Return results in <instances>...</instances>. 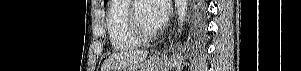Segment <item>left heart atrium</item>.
<instances>
[{
    "label": "left heart atrium",
    "mask_w": 301,
    "mask_h": 71,
    "mask_svg": "<svg viewBox=\"0 0 301 71\" xmlns=\"http://www.w3.org/2000/svg\"><path fill=\"white\" fill-rule=\"evenodd\" d=\"M151 9L157 29H161L166 24L171 13V5L168 0H151Z\"/></svg>",
    "instance_id": "1"
}]
</instances>
